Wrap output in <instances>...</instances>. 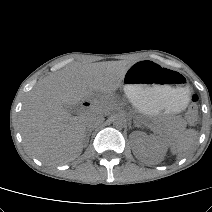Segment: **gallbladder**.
Masks as SVG:
<instances>
[{"label":"gallbladder","instance_id":"obj_1","mask_svg":"<svg viewBox=\"0 0 212 212\" xmlns=\"http://www.w3.org/2000/svg\"><path fill=\"white\" fill-rule=\"evenodd\" d=\"M64 108L70 112V113H74L75 112V107L74 106H64Z\"/></svg>","mask_w":212,"mask_h":212}]
</instances>
